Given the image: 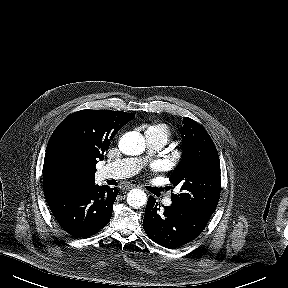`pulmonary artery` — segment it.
Returning a JSON list of instances; mask_svg holds the SVG:
<instances>
[{
	"label": "pulmonary artery",
	"instance_id": "1",
	"mask_svg": "<svg viewBox=\"0 0 288 288\" xmlns=\"http://www.w3.org/2000/svg\"><path fill=\"white\" fill-rule=\"evenodd\" d=\"M145 137L150 153L159 150L167 142L166 138L161 133L152 130H147L145 132ZM143 163L144 160L141 158H127L114 161L103 166L99 171V176L101 178L113 179H123L130 177L140 171ZM164 204L166 206H170L172 204L171 198H165Z\"/></svg>",
	"mask_w": 288,
	"mask_h": 288
}]
</instances>
